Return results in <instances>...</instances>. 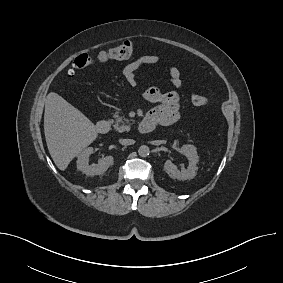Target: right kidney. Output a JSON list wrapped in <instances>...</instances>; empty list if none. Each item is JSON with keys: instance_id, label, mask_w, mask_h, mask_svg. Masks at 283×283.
<instances>
[{"instance_id": "1", "label": "right kidney", "mask_w": 283, "mask_h": 283, "mask_svg": "<svg viewBox=\"0 0 283 283\" xmlns=\"http://www.w3.org/2000/svg\"><path fill=\"white\" fill-rule=\"evenodd\" d=\"M93 153V148L88 147L84 149L78 156L77 169L88 176L101 175L113 165L114 158L112 156H105L100 159L98 164L89 165V156Z\"/></svg>"}]
</instances>
